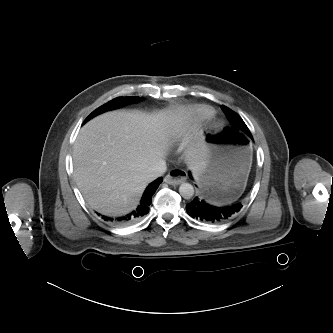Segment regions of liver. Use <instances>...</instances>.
<instances>
[{
  "mask_svg": "<svg viewBox=\"0 0 333 333\" xmlns=\"http://www.w3.org/2000/svg\"><path fill=\"white\" fill-rule=\"evenodd\" d=\"M176 130L163 113L113 111L85 124L74 143V178L94 210L108 216L135 209L150 181L146 170L161 160ZM205 150L187 153L194 176Z\"/></svg>",
  "mask_w": 333,
  "mask_h": 333,
  "instance_id": "1",
  "label": "liver"
}]
</instances>
